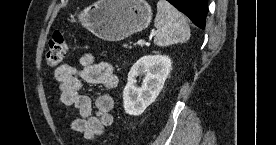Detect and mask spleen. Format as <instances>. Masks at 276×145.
<instances>
[{"label":"spleen","instance_id":"3e777b00","mask_svg":"<svg viewBox=\"0 0 276 145\" xmlns=\"http://www.w3.org/2000/svg\"><path fill=\"white\" fill-rule=\"evenodd\" d=\"M154 25L158 30L154 39L157 46L185 43L190 38V28L185 17L166 0L157 2Z\"/></svg>","mask_w":276,"mask_h":145}]
</instances>
